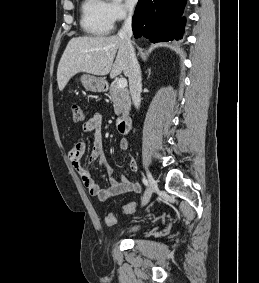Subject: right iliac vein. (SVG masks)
<instances>
[{
    "mask_svg": "<svg viewBox=\"0 0 259 283\" xmlns=\"http://www.w3.org/2000/svg\"><path fill=\"white\" fill-rule=\"evenodd\" d=\"M147 177H148V181H149V186H148V188L145 192V195L143 197L142 206H145L150 201V198L152 196V192L156 187V181L154 180L151 172L148 169H147Z\"/></svg>",
    "mask_w": 259,
    "mask_h": 283,
    "instance_id": "1",
    "label": "right iliac vein"
}]
</instances>
